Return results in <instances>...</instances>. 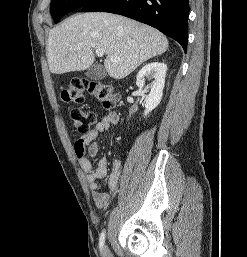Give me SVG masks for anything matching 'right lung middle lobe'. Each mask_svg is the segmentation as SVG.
Returning <instances> with one entry per match:
<instances>
[{
  "label": "right lung middle lobe",
  "mask_w": 247,
  "mask_h": 257,
  "mask_svg": "<svg viewBox=\"0 0 247 257\" xmlns=\"http://www.w3.org/2000/svg\"><path fill=\"white\" fill-rule=\"evenodd\" d=\"M92 1L93 0H52L50 10L54 22H59L65 14L82 8Z\"/></svg>",
  "instance_id": "1"
}]
</instances>
